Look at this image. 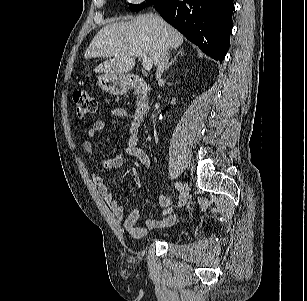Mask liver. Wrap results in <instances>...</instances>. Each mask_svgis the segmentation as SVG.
Wrapping results in <instances>:
<instances>
[{"label":"liver","instance_id":"obj_1","mask_svg":"<svg viewBox=\"0 0 307 301\" xmlns=\"http://www.w3.org/2000/svg\"><path fill=\"white\" fill-rule=\"evenodd\" d=\"M183 35L158 15L141 14L130 21L114 22L103 27L91 41L85 59L109 57L95 67V73L124 75L135 66V52L141 51L158 65L164 44L176 49Z\"/></svg>","mask_w":307,"mask_h":301}]
</instances>
